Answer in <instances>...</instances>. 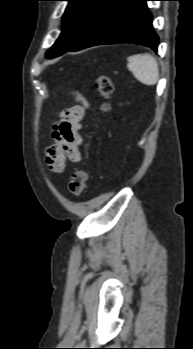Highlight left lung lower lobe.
Here are the masks:
<instances>
[{"label":"left lung lower lobe","mask_w":193,"mask_h":349,"mask_svg":"<svg viewBox=\"0 0 193 349\" xmlns=\"http://www.w3.org/2000/svg\"><path fill=\"white\" fill-rule=\"evenodd\" d=\"M146 1L110 0L68 51L115 43L143 44L157 51L158 37Z\"/></svg>","instance_id":"left-lung-lower-lobe-1"}]
</instances>
